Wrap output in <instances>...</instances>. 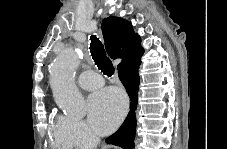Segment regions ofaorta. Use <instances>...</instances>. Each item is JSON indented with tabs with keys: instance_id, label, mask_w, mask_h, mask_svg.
I'll list each match as a JSON object with an SVG mask.
<instances>
[{
	"instance_id": "aorta-1",
	"label": "aorta",
	"mask_w": 227,
	"mask_h": 149,
	"mask_svg": "<svg viewBox=\"0 0 227 149\" xmlns=\"http://www.w3.org/2000/svg\"><path fill=\"white\" fill-rule=\"evenodd\" d=\"M78 64L79 57L75 49L66 48L50 67V84L54 100L63 112L80 118L85 115V103L75 85Z\"/></svg>"
}]
</instances>
